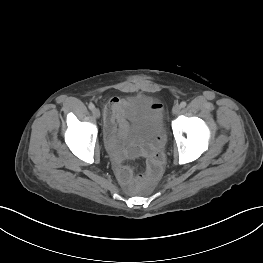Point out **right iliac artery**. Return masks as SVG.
<instances>
[{"label":"right iliac artery","mask_w":263,"mask_h":263,"mask_svg":"<svg viewBox=\"0 0 263 263\" xmlns=\"http://www.w3.org/2000/svg\"><path fill=\"white\" fill-rule=\"evenodd\" d=\"M88 107H89L90 110H93V109L95 108V106H94L93 103H90V104L88 105Z\"/></svg>","instance_id":"right-iliac-artery-1"}]
</instances>
